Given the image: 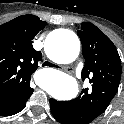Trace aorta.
<instances>
[{"label":"aorta","instance_id":"1","mask_svg":"<svg viewBox=\"0 0 124 124\" xmlns=\"http://www.w3.org/2000/svg\"><path fill=\"white\" fill-rule=\"evenodd\" d=\"M47 55L53 61L67 64L79 55L80 42L77 35L67 29L54 32L46 42ZM38 84L57 100H71L78 94L75 78L58 70H44Z\"/></svg>","mask_w":124,"mask_h":124}]
</instances>
